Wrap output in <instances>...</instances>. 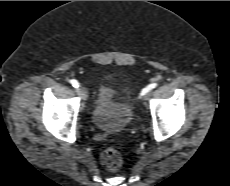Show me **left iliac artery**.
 Instances as JSON below:
<instances>
[{"label":"left iliac artery","instance_id":"1","mask_svg":"<svg viewBox=\"0 0 230 186\" xmlns=\"http://www.w3.org/2000/svg\"><path fill=\"white\" fill-rule=\"evenodd\" d=\"M156 86H157V83H152V84L148 85L147 87H145V88L142 90L141 94H142V95L146 94V93L149 92L150 90L154 89Z\"/></svg>","mask_w":230,"mask_h":186}]
</instances>
